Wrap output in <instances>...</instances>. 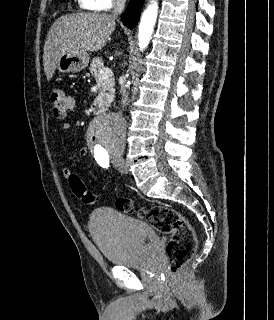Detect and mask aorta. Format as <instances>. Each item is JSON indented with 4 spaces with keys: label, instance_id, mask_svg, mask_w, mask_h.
<instances>
[{
    "label": "aorta",
    "instance_id": "aorta-1",
    "mask_svg": "<svg viewBox=\"0 0 274 320\" xmlns=\"http://www.w3.org/2000/svg\"><path fill=\"white\" fill-rule=\"evenodd\" d=\"M158 14V3L152 0L143 12L138 26V44L145 49L151 39ZM125 121L118 114H108L98 118L90 128L89 140L98 157H109L119 153L125 143ZM93 138V139H92Z\"/></svg>",
    "mask_w": 274,
    "mask_h": 320
}]
</instances>
